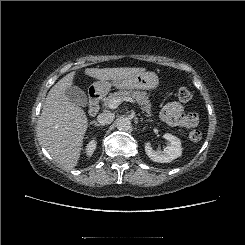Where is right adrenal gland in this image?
Listing matches in <instances>:
<instances>
[{"label":"right adrenal gland","instance_id":"right-adrenal-gland-1","mask_svg":"<svg viewBox=\"0 0 245 245\" xmlns=\"http://www.w3.org/2000/svg\"><path fill=\"white\" fill-rule=\"evenodd\" d=\"M91 124H94L95 126L103 127V125L97 123L96 121H92Z\"/></svg>","mask_w":245,"mask_h":245}]
</instances>
